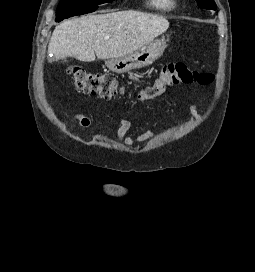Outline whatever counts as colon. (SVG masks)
Returning a JSON list of instances; mask_svg holds the SVG:
<instances>
[{
	"label": "colon",
	"instance_id": "obj_1",
	"mask_svg": "<svg viewBox=\"0 0 255 272\" xmlns=\"http://www.w3.org/2000/svg\"><path fill=\"white\" fill-rule=\"evenodd\" d=\"M70 74L75 87L85 94L111 99L120 91L119 78L113 73H97L84 68H73ZM213 78V74L193 70L183 63L166 64L160 68L154 81L140 91L138 97L143 101L152 100L173 86L209 84Z\"/></svg>",
	"mask_w": 255,
	"mask_h": 272
}]
</instances>
